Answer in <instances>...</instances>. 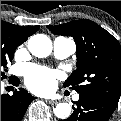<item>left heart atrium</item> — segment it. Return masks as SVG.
Wrapping results in <instances>:
<instances>
[{"instance_id": "obj_1", "label": "left heart atrium", "mask_w": 121, "mask_h": 121, "mask_svg": "<svg viewBox=\"0 0 121 121\" xmlns=\"http://www.w3.org/2000/svg\"><path fill=\"white\" fill-rule=\"evenodd\" d=\"M58 74L46 67L31 65L26 72V84L38 94H47L55 90Z\"/></svg>"}]
</instances>
